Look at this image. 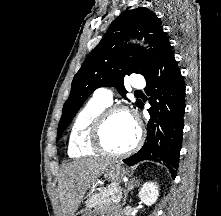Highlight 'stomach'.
I'll return each mask as SVG.
<instances>
[{
    "label": "stomach",
    "mask_w": 221,
    "mask_h": 216,
    "mask_svg": "<svg viewBox=\"0 0 221 216\" xmlns=\"http://www.w3.org/2000/svg\"><path fill=\"white\" fill-rule=\"evenodd\" d=\"M127 173V170L122 166L121 163L118 162L113 163L105 170L104 177L116 183L120 181V179L124 177ZM96 213L98 212L92 211L90 208H88L85 211L78 212L75 216H93Z\"/></svg>",
    "instance_id": "1"
}]
</instances>
